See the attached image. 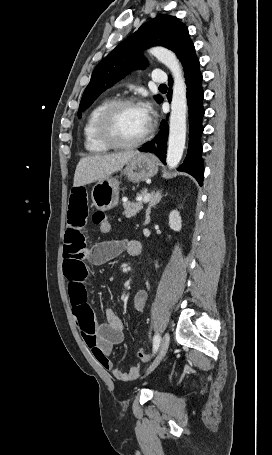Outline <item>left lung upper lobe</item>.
Masks as SVG:
<instances>
[{"instance_id": "left-lung-upper-lobe-1", "label": "left lung upper lobe", "mask_w": 272, "mask_h": 455, "mask_svg": "<svg viewBox=\"0 0 272 455\" xmlns=\"http://www.w3.org/2000/svg\"><path fill=\"white\" fill-rule=\"evenodd\" d=\"M164 46L175 52L183 67L196 59L194 44L187 27L174 16L159 15L143 24L135 33L117 45L94 69L85 89L78 117L107 88L124 78L132 70L147 65L140 55L150 46ZM159 101L161 96H155Z\"/></svg>"}]
</instances>
